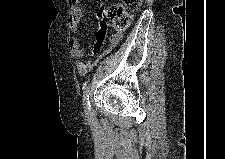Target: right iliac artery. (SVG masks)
I'll list each match as a JSON object with an SVG mask.
<instances>
[{
	"label": "right iliac artery",
	"mask_w": 225,
	"mask_h": 159,
	"mask_svg": "<svg viewBox=\"0 0 225 159\" xmlns=\"http://www.w3.org/2000/svg\"><path fill=\"white\" fill-rule=\"evenodd\" d=\"M89 95H90V87L87 86L83 92V105H84L85 112L88 115L91 113V105H90V101H89Z\"/></svg>",
	"instance_id": "82829eb1"
}]
</instances>
